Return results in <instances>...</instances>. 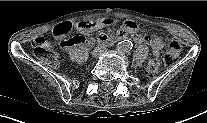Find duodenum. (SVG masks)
Listing matches in <instances>:
<instances>
[{
  "mask_svg": "<svg viewBox=\"0 0 207 123\" xmlns=\"http://www.w3.org/2000/svg\"><path fill=\"white\" fill-rule=\"evenodd\" d=\"M122 39V37L120 36H117L115 38H111V39H108L106 41H101L102 43H106V44H111V43H115V42H118Z\"/></svg>",
  "mask_w": 207,
  "mask_h": 123,
  "instance_id": "1",
  "label": "duodenum"
}]
</instances>
